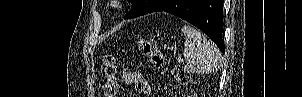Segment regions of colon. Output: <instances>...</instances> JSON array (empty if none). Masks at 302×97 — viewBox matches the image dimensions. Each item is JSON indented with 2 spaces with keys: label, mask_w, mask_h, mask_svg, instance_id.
Here are the masks:
<instances>
[{
  "label": "colon",
  "mask_w": 302,
  "mask_h": 97,
  "mask_svg": "<svg viewBox=\"0 0 302 97\" xmlns=\"http://www.w3.org/2000/svg\"><path fill=\"white\" fill-rule=\"evenodd\" d=\"M137 45L140 52L148 59L153 68L167 70L163 56L152 40L139 38ZM101 70L104 78V95L105 97H114L117 93L118 83L116 79L115 57L113 55L107 54L103 57ZM170 73L180 84L187 85L190 83V75L185 69L181 67H172L170 68Z\"/></svg>",
  "instance_id": "5ec220e1"
}]
</instances>
